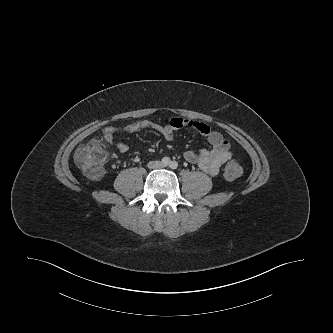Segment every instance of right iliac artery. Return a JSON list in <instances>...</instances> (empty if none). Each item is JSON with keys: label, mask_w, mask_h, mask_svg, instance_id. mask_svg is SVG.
Here are the masks:
<instances>
[{"label": "right iliac artery", "mask_w": 333, "mask_h": 333, "mask_svg": "<svg viewBox=\"0 0 333 333\" xmlns=\"http://www.w3.org/2000/svg\"><path fill=\"white\" fill-rule=\"evenodd\" d=\"M162 164L164 165V166H167V165H169L170 164V158L169 157H164V158H162Z\"/></svg>", "instance_id": "1"}]
</instances>
